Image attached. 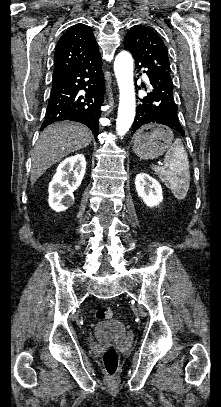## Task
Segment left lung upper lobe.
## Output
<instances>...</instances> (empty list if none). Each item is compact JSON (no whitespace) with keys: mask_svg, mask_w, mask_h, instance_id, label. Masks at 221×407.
<instances>
[{"mask_svg":"<svg viewBox=\"0 0 221 407\" xmlns=\"http://www.w3.org/2000/svg\"><path fill=\"white\" fill-rule=\"evenodd\" d=\"M124 41L135 61L145 65L155 75L172 81L166 46L152 29L135 25L128 31Z\"/></svg>","mask_w":221,"mask_h":407,"instance_id":"5c2ea615","label":"left lung upper lobe"}]
</instances>
